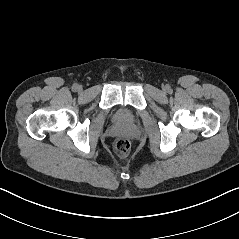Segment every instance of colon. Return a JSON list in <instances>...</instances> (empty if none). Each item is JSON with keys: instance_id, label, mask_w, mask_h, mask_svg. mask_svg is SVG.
<instances>
[{"instance_id": "5ec220e1", "label": "colon", "mask_w": 239, "mask_h": 239, "mask_svg": "<svg viewBox=\"0 0 239 239\" xmlns=\"http://www.w3.org/2000/svg\"><path fill=\"white\" fill-rule=\"evenodd\" d=\"M113 150L118 156H125L130 150V142L125 138H118L113 143Z\"/></svg>"}]
</instances>
